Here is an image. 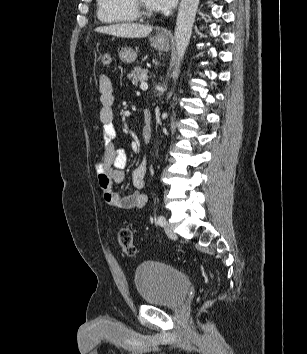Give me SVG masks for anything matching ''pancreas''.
<instances>
[{"label":"pancreas","mask_w":307,"mask_h":354,"mask_svg":"<svg viewBox=\"0 0 307 354\" xmlns=\"http://www.w3.org/2000/svg\"><path fill=\"white\" fill-rule=\"evenodd\" d=\"M148 71L142 67H135L129 74L128 79L133 85L137 86L139 82L145 81L147 79Z\"/></svg>","instance_id":"pancreas-1"}]
</instances>
